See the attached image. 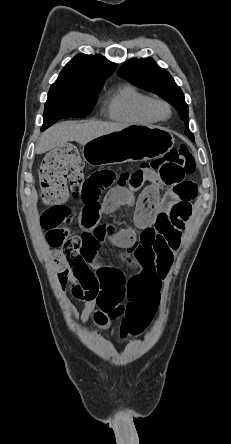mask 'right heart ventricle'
Masks as SVG:
<instances>
[{"instance_id": "obj_1", "label": "right heart ventricle", "mask_w": 231, "mask_h": 444, "mask_svg": "<svg viewBox=\"0 0 231 444\" xmlns=\"http://www.w3.org/2000/svg\"><path fill=\"white\" fill-rule=\"evenodd\" d=\"M152 97L133 85H124L107 100V115L114 121L150 124L157 121L148 111Z\"/></svg>"}]
</instances>
